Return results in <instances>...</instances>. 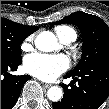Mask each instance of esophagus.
I'll use <instances>...</instances> for the list:
<instances>
[{"label": "esophagus", "instance_id": "34e87169", "mask_svg": "<svg viewBox=\"0 0 109 109\" xmlns=\"http://www.w3.org/2000/svg\"><path fill=\"white\" fill-rule=\"evenodd\" d=\"M43 86H44L45 88H49L51 85H50V84H43Z\"/></svg>", "mask_w": 109, "mask_h": 109}]
</instances>
